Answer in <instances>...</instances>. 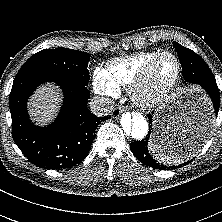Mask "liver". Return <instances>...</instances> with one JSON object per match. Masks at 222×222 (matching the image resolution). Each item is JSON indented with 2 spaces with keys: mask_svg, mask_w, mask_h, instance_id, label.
<instances>
[{
  "mask_svg": "<svg viewBox=\"0 0 222 222\" xmlns=\"http://www.w3.org/2000/svg\"><path fill=\"white\" fill-rule=\"evenodd\" d=\"M61 103V92L53 85L37 89L29 101V112L40 124L49 123L57 113Z\"/></svg>",
  "mask_w": 222,
  "mask_h": 222,
  "instance_id": "1",
  "label": "liver"
}]
</instances>
